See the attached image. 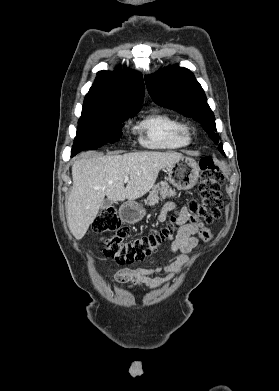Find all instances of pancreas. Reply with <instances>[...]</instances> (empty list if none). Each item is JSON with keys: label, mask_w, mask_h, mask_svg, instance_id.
Returning a JSON list of instances; mask_svg holds the SVG:
<instances>
[{"label": "pancreas", "mask_w": 279, "mask_h": 391, "mask_svg": "<svg viewBox=\"0 0 279 391\" xmlns=\"http://www.w3.org/2000/svg\"><path fill=\"white\" fill-rule=\"evenodd\" d=\"M176 196V191L168 186L166 182H160L149 192L146 203L150 206L155 205L161 199L171 198Z\"/></svg>", "instance_id": "pancreas-1"}]
</instances>
